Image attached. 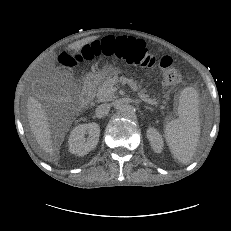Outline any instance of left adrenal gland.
Listing matches in <instances>:
<instances>
[{
	"mask_svg": "<svg viewBox=\"0 0 231 231\" xmlns=\"http://www.w3.org/2000/svg\"><path fill=\"white\" fill-rule=\"evenodd\" d=\"M145 108H146V109H149V110H151V111H152V108H150V107H148V106H145Z\"/></svg>",
	"mask_w": 231,
	"mask_h": 231,
	"instance_id": "obj_1",
	"label": "left adrenal gland"
}]
</instances>
